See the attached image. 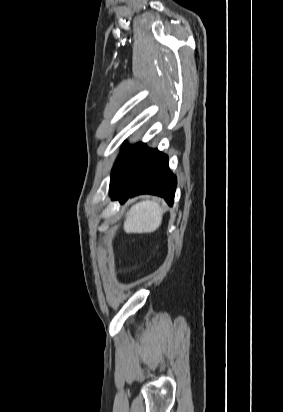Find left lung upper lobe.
<instances>
[{
  "mask_svg": "<svg viewBox=\"0 0 283 412\" xmlns=\"http://www.w3.org/2000/svg\"><path fill=\"white\" fill-rule=\"evenodd\" d=\"M146 144L126 146L114 165V173L120 182L126 181L148 151Z\"/></svg>",
  "mask_w": 283,
  "mask_h": 412,
  "instance_id": "5c2ea615",
  "label": "left lung upper lobe"
}]
</instances>
